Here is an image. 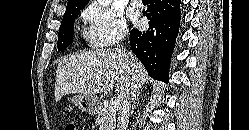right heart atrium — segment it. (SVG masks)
<instances>
[{"mask_svg": "<svg viewBox=\"0 0 249 130\" xmlns=\"http://www.w3.org/2000/svg\"><path fill=\"white\" fill-rule=\"evenodd\" d=\"M82 17L89 25V36L96 46L115 45L128 33L126 19L115 7L92 2L83 10Z\"/></svg>", "mask_w": 249, "mask_h": 130, "instance_id": "obj_1", "label": "right heart atrium"}]
</instances>
